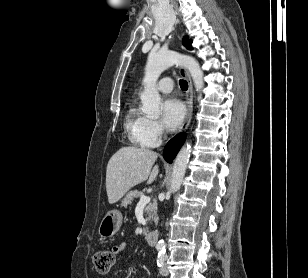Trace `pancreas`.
Masks as SVG:
<instances>
[{
    "label": "pancreas",
    "mask_w": 308,
    "mask_h": 278,
    "mask_svg": "<svg viewBox=\"0 0 308 278\" xmlns=\"http://www.w3.org/2000/svg\"><path fill=\"white\" fill-rule=\"evenodd\" d=\"M141 196H142V192H139L137 190L130 191L126 194L125 198L122 200L121 205L126 207L129 204H131L135 198H139ZM145 213L147 215V220L149 221L153 220L154 222H157L158 217H157L156 202L148 204L145 207Z\"/></svg>",
    "instance_id": "cf45deb5"
}]
</instances>
